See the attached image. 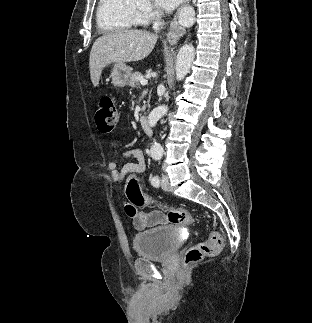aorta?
Instances as JSON below:
<instances>
[{
	"label": "aorta",
	"instance_id": "762f6f07",
	"mask_svg": "<svg viewBox=\"0 0 312 323\" xmlns=\"http://www.w3.org/2000/svg\"><path fill=\"white\" fill-rule=\"evenodd\" d=\"M195 58V48H193L192 44H185L182 46L178 52L177 60H176V80H184L185 76H187L190 66ZM168 108L167 106H158L155 110H152L149 114L148 118V126L150 128H154L157 122H159L160 118L166 114ZM151 150H154L156 154H162L163 148L160 144H154Z\"/></svg>",
	"mask_w": 312,
	"mask_h": 323
}]
</instances>
